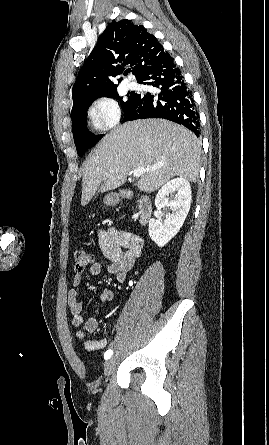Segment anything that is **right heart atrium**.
<instances>
[{
    "label": "right heart atrium",
    "mask_w": 269,
    "mask_h": 445,
    "mask_svg": "<svg viewBox=\"0 0 269 445\" xmlns=\"http://www.w3.org/2000/svg\"><path fill=\"white\" fill-rule=\"evenodd\" d=\"M87 115L99 130L106 131L118 124L121 110L115 99L102 96L91 102L87 109Z\"/></svg>",
    "instance_id": "right-heart-atrium-1"
}]
</instances>
